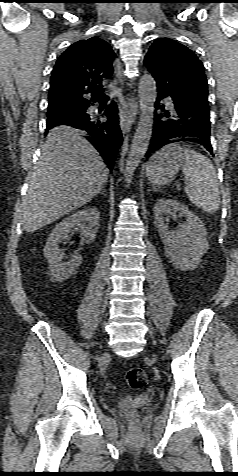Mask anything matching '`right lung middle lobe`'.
Masks as SVG:
<instances>
[{
  "label": "right lung middle lobe",
  "instance_id": "dd1d6c3e",
  "mask_svg": "<svg viewBox=\"0 0 238 476\" xmlns=\"http://www.w3.org/2000/svg\"><path fill=\"white\" fill-rule=\"evenodd\" d=\"M86 109L87 108L76 106H48L47 123L59 124L67 122L76 117L85 115Z\"/></svg>",
  "mask_w": 238,
  "mask_h": 476
}]
</instances>
